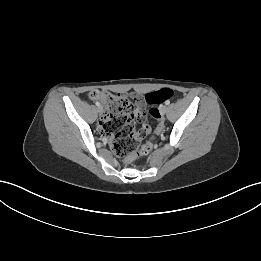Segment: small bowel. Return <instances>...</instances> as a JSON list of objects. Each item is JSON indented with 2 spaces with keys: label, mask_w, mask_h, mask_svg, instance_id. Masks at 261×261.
I'll list each match as a JSON object with an SVG mask.
<instances>
[{
  "label": "small bowel",
  "mask_w": 261,
  "mask_h": 261,
  "mask_svg": "<svg viewBox=\"0 0 261 261\" xmlns=\"http://www.w3.org/2000/svg\"><path fill=\"white\" fill-rule=\"evenodd\" d=\"M132 97L136 101V108L133 111V116L138 121L144 122L147 117L145 112V100L139 94L136 93H134ZM151 132H152V127L149 124H144L143 127L141 128V133L139 134V137L142 140H145L150 135Z\"/></svg>",
  "instance_id": "1"
}]
</instances>
